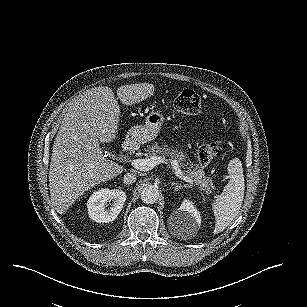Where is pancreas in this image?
<instances>
[{
  "label": "pancreas",
  "instance_id": "1",
  "mask_svg": "<svg viewBox=\"0 0 307 307\" xmlns=\"http://www.w3.org/2000/svg\"><path fill=\"white\" fill-rule=\"evenodd\" d=\"M143 151L146 156H155L161 154L162 156L167 155L169 157L170 163H178L182 172V175L187 176L191 180V185H196L199 187V191L205 190L206 193H211L215 188L213 186L212 178L206 175V172L198 165L192 162L189 165L185 162V157L180 151H174L168 148V145L163 147L158 146V142L149 143ZM174 171V170H173Z\"/></svg>",
  "mask_w": 307,
  "mask_h": 307
}]
</instances>
